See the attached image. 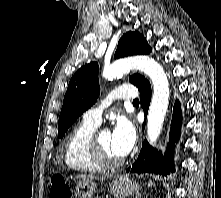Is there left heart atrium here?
Instances as JSON below:
<instances>
[{"label":"left heart atrium","mask_w":221,"mask_h":198,"mask_svg":"<svg viewBox=\"0 0 221 198\" xmlns=\"http://www.w3.org/2000/svg\"><path fill=\"white\" fill-rule=\"evenodd\" d=\"M135 141L134 126L124 118L118 119L111 132V143L115 152L121 157L126 156L132 150Z\"/></svg>","instance_id":"obj_1"}]
</instances>
